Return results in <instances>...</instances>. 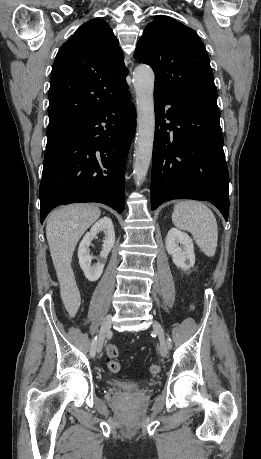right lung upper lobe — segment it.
Returning a JSON list of instances; mask_svg holds the SVG:
<instances>
[{"label":"right lung upper lobe","instance_id":"obj_1","mask_svg":"<svg viewBox=\"0 0 261 459\" xmlns=\"http://www.w3.org/2000/svg\"><path fill=\"white\" fill-rule=\"evenodd\" d=\"M124 55L102 19L80 26L59 49L49 89V126L80 123L128 89Z\"/></svg>","mask_w":261,"mask_h":459}]
</instances>
